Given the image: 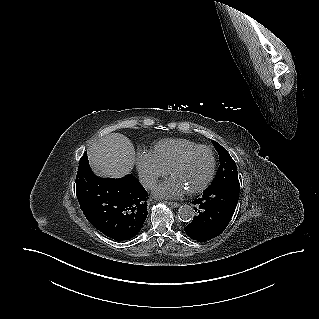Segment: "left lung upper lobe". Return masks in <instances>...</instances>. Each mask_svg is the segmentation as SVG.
Wrapping results in <instances>:
<instances>
[{
	"label": "left lung upper lobe",
	"instance_id": "5c2ea615",
	"mask_svg": "<svg viewBox=\"0 0 319 319\" xmlns=\"http://www.w3.org/2000/svg\"><path fill=\"white\" fill-rule=\"evenodd\" d=\"M212 142L216 150L218 151L220 165L215 179L208 187L210 189L222 186L230 182L238 181L237 166L234 160L223 146L213 140Z\"/></svg>",
	"mask_w": 319,
	"mask_h": 319
}]
</instances>
